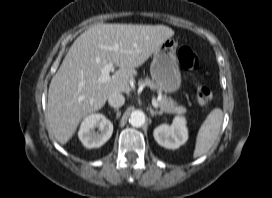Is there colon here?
<instances>
[{
	"instance_id": "5ec220e1",
	"label": "colon",
	"mask_w": 272,
	"mask_h": 198,
	"mask_svg": "<svg viewBox=\"0 0 272 198\" xmlns=\"http://www.w3.org/2000/svg\"><path fill=\"white\" fill-rule=\"evenodd\" d=\"M178 61L181 67L188 73L195 72L199 67V58L197 54L186 45L179 48ZM196 97L199 103L208 104L213 99V91L208 86H201L197 89Z\"/></svg>"
}]
</instances>
